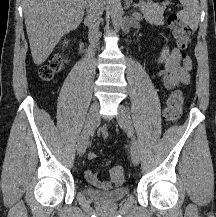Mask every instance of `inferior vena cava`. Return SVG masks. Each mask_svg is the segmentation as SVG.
Masks as SVG:
<instances>
[{"label": "inferior vena cava", "instance_id": "inferior-vena-cava-1", "mask_svg": "<svg viewBox=\"0 0 216 217\" xmlns=\"http://www.w3.org/2000/svg\"><path fill=\"white\" fill-rule=\"evenodd\" d=\"M87 11V23H88V36L89 39L95 43L99 40V23L103 13V1L102 0H86L85 3Z\"/></svg>", "mask_w": 216, "mask_h": 217}]
</instances>
